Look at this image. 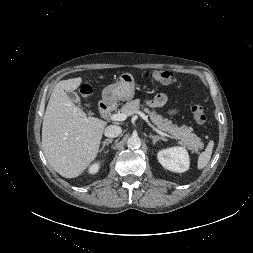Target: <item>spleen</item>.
Here are the masks:
<instances>
[{
	"label": "spleen",
	"instance_id": "spleen-1",
	"mask_svg": "<svg viewBox=\"0 0 253 253\" xmlns=\"http://www.w3.org/2000/svg\"><path fill=\"white\" fill-rule=\"evenodd\" d=\"M213 146H214V142L211 140L205 151H203L198 158V164L197 167L198 169H203L205 166H207L208 162L211 159V155H212V150H213Z\"/></svg>",
	"mask_w": 253,
	"mask_h": 253
}]
</instances>
